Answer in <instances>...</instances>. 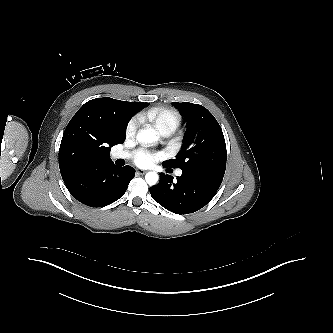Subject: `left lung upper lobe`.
<instances>
[{"label":"left lung upper lobe","mask_w":333,"mask_h":333,"mask_svg":"<svg viewBox=\"0 0 333 333\" xmlns=\"http://www.w3.org/2000/svg\"><path fill=\"white\" fill-rule=\"evenodd\" d=\"M173 106L187 119L188 130L176 158L164 161L163 166L180 168L183 172H211L224 175L226 144L217 120L199 104L174 102Z\"/></svg>","instance_id":"5c2ea615"}]
</instances>
